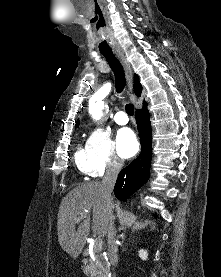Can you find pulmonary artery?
I'll return each mask as SVG.
<instances>
[{
	"label": "pulmonary artery",
	"mask_w": 221,
	"mask_h": 277,
	"mask_svg": "<svg viewBox=\"0 0 221 277\" xmlns=\"http://www.w3.org/2000/svg\"><path fill=\"white\" fill-rule=\"evenodd\" d=\"M114 121L119 125H126L128 117L124 111H118L114 116Z\"/></svg>",
	"instance_id": "e3ab8cb5"
}]
</instances>
